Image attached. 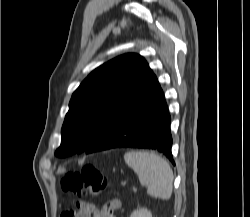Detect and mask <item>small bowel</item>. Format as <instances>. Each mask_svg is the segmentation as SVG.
I'll return each mask as SVG.
<instances>
[{
    "mask_svg": "<svg viewBox=\"0 0 250 217\" xmlns=\"http://www.w3.org/2000/svg\"><path fill=\"white\" fill-rule=\"evenodd\" d=\"M121 207V202L118 199H113L107 204L100 207V212L93 217H116L114 212ZM69 217H83L78 212H73Z\"/></svg>",
    "mask_w": 250,
    "mask_h": 217,
    "instance_id": "1",
    "label": "small bowel"
}]
</instances>
